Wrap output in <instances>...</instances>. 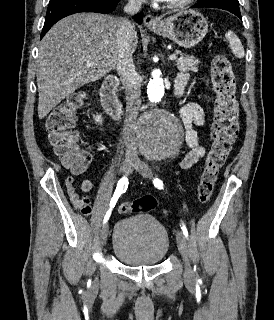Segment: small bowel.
<instances>
[{
    "label": "small bowel",
    "instance_id": "c3829d8e",
    "mask_svg": "<svg viewBox=\"0 0 274 320\" xmlns=\"http://www.w3.org/2000/svg\"><path fill=\"white\" fill-rule=\"evenodd\" d=\"M188 81V76L185 73L178 75L175 81V92L179 97L184 95L185 86ZM185 131V143L190 148L189 152L180 162L182 169L193 167L198 161L204 158L206 149L201 145L200 138L196 127L203 126L205 123V115L202 107L194 102L186 103L180 112ZM81 161H87V168H74L72 171L76 174H81L88 169L96 166L97 152L85 151ZM82 196L70 198L73 207L85 216L92 213L91 199L87 195L93 189V182L90 177L85 178L81 185Z\"/></svg>",
    "mask_w": 274,
    "mask_h": 320
}]
</instances>
